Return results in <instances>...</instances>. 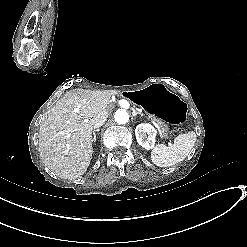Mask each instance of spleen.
<instances>
[{"label":"spleen","mask_w":247,"mask_h":247,"mask_svg":"<svg viewBox=\"0 0 247 247\" xmlns=\"http://www.w3.org/2000/svg\"><path fill=\"white\" fill-rule=\"evenodd\" d=\"M196 142V134L189 131L178 135L172 145L158 144L151 152L152 162L159 167L173 166L183 161Z\"/></svg>","instance_id":"obj_1"}]
</instances>
